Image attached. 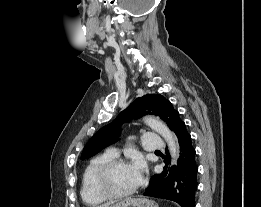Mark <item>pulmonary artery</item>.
<instances>
[{
	"instance_id": "pulmonary-artery-1",
	"label": "pulmonary artery",
	"mask_w": 261,
	"mask_h": 207,
	"mask_svg": "<svg viewBox=\"0 0 261 207\" xmlns=\"http://www.w3.org/2000/svg\"><path fill=\"white\" fill-rule=\"evenodd\" d=\"M143 147L147 151H159L165 148V142L159 135L148 132L143 135ZM107 152L114 157L119 155V151L115 148H110Z\"/></svg>"
}]
</instances>
